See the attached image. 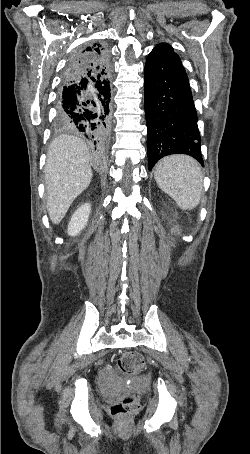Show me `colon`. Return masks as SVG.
Returning a JSON list of instances; mask_svg holds the SVG:
<instances>
[{
	"label": "colon",
	"instance_id": "colon-1",
	"mask_svg": "<svg viewBox=\"0 0 250 454\" xmlns=\"http://www.w3.org/2000/svg\"><path fill=\"white\" fill-rule=\"evenodd\" d=\"M144 359L141 354L134 351L123 352L117 359V367L124 375H136L144 369ZM136 407V398L125 395L116 399L110 406V412L123 417Z\"/></svg>",
	"mask_w": 250,
	"mask_h": 454
}]
</instances>
